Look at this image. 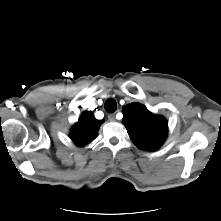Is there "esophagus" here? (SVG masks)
I'll return each mask as SVG.
<instances>
[{
	"label": "esophagus",
	"mask_w": 221,
	"mask_h": 221,
	"mask_svg": "<svg viewBox=\"0 0 221 221\" xmlns=\"http://www.w3.org/2000/svg\"><path fill=\"white\" fill-rule=\"evenodd\" d=\"M108 119H109V121H111V122L116 121V116H115V114H109V115H108Z\"/></svg>",
	"instance_id": "1"
}]
</instances>
